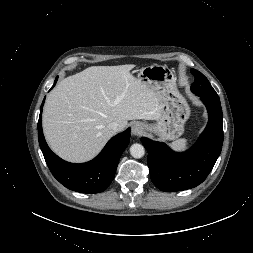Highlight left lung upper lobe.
Segmentation results:
<instances>
[{"label":"left lung upper lobe","mask_w":253,"mask_h":253,"mask_svg":"<svg viewBox=\"0 0 253 253\" xmlns=\"http://www.w3.org/2000/svg\"><path fill=\"white\" fill-rule=\"evenodd\" d=\"M191 73L195 77V81L191 85L192 92L199 96L219 98L208 79L201 72L191 69Z\"/></svg>","instance_id":"obj_1"}]
</instances>
